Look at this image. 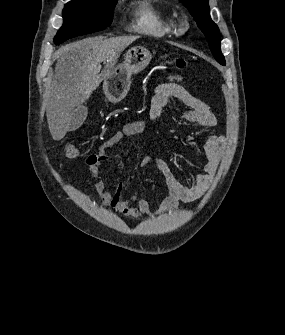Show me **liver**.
<instances>
[{"label": "liver", "mask_w": 285, "mask_h": 335, "mask_svg": "<svg viewBox=\"0 0 285 335\" xmlns=\"http://www.w3.org/2000/svg\"><path fill=\"white\" fill-rule=\"evenodd\" d=\"M137 38L140 36H120L109 40L96 36L59 48L46 110L53 140L58 142L66 136L75 108L89 100L92 92L114 68L121 52ZM102 62H106L104 74H100Z\"/></svg>", "instance_id": "1"}]
</instances>
